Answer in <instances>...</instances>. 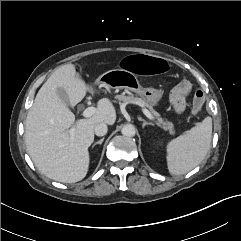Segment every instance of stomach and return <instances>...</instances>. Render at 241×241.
<instances>
[{"label": "stomach", "mask_w": 241, "mask_h": 241, "mask_svg": "<svg viewBox=\"0 0 241 241\" xmlns=\"http://www.w3.org/2000/svg\"><path fill=\"white\" fill-rule=\"evenodd\" d=\"M96 83L105 89H128L140 95L151 106H156L163 96V91L154 87L144 88L137 75L123 68L109 70L102 74Z\"/></svg>", "instance_id": "1"}]
</instances>
